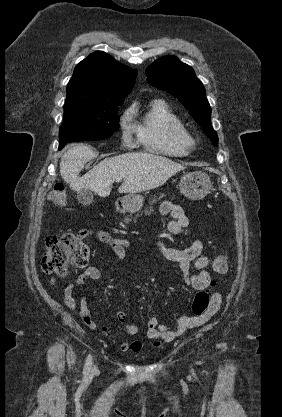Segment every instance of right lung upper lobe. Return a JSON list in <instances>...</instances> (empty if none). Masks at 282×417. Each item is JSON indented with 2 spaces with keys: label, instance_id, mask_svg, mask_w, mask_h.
<instances>
[{
  "label": "right lung upper lobe",
  "instance_id": "cb5924a9",
  "mask_svg": "<svg viewBox=\"0 0 282 417\" xmlns=\"http://www.w3.org/2000/svg\"><path fill=\"white\" fill-rule=\"evenodd\" d=\"M137 71L130 69L109 54L96 51L74 69L67 85V95H127L134 86Z\"/></svg>",
  "mask_w": 282,
  "mask_h": 417
}]
</instances>
